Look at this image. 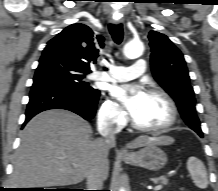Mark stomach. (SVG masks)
Segmentation results:
<instances>
[{
    "mask_svg": "<svg viewBox=\"0 0 218 191\" xmlns=\"http://www.w3.org/2000/svg\"><path fill=\"white\" fill-rule=\"evenodd\" d=\"M123 160L133 166L158 171L166 165L167 155L156 144H149L143 149L124 157Z\"/></svg>",
    "mask_w": 218,
    "mask_h": 191,
    "instance_id": "stomach-1",
    "label": "stomach"
}]
</instances>
